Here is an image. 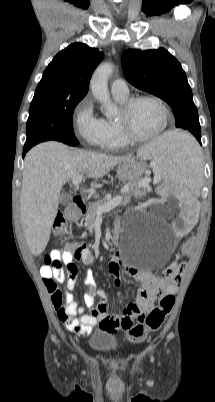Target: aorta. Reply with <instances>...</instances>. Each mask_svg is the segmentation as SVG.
Returning a JSON list of instances; mask_svg holds the SVG:
<instances>
[{
	"mask_svg": "<svg viewBox=\"0 0 215 402\" xmlns=\"http://www.w3.org/2000/svg\"><path fill=\"white\" fill-rule=\"evenodd\" d=\"M113 72V64L105 62L100 64L94 71L90 87L94 97L105 109V116L111 117L116 113V107L112 103L108 91V79Z\"/></svg>",
	"mask_w": 215,
	"mask_h": 402,
	"instance_id": "762f6f07",
	"label": "aorta"
}]
</instances>
